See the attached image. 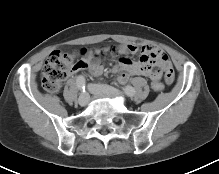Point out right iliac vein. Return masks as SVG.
Masks as SVG:
<instances>
[{
  "mask_svg": "<svg viewBox=\"0 0 219 174\" xmlns=\"http://www.w3.org/2000/svg\"><path fill=\"white\" fill-rule=\"evenodd\" d=\"M89 102V94L88 93H82L78 98V103L80 106H86Z\"/></svg>",
  "mask_w": 219,
  "mask_h": 174,
  "instance_id": "obj_1",
  "label": "right iliac vein"
}]
</instances>
